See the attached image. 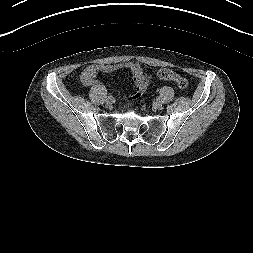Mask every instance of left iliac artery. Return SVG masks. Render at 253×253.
I'll return each mask as SVG.
<instances>
[{
    "label": "left iliac artery",
    "mask_w": 253,
    "mask_h": 253,
    "mask_svg": "<svg viewBox=\"0 0 253 253\" xmlns=\"http://www.w3.org/2000/svg\"><path fill=\"white\" fill-rule=\"evenodd\" d=\"M155 102L161 103L163 101V98L161 96L155 97L154 98Z\"/></svg>",
    "instance_id": "1"
}]
</instances>
